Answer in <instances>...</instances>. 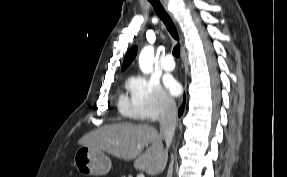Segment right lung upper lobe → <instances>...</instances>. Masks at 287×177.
I'll return each instance as SVG.
<instances>
[{
	"label": "right lung upper lobe",
	"instance_id": "obj_1",
	"mask_svg": "<svg viewBox=\"0 0 287 177\" xmlns=\"http://www.w3.org/2000/svg\"><path fill=\"white\" fill-rule=\"evenodd\" d=\"M137 53V47H132L128 53L126 54L124 61H123V65H122V70L126 69L129 64L132 62V60L135 58Z\"/></svg>",
	"mask_w": 287,
	"mask_h": 177
}]
</instances>
